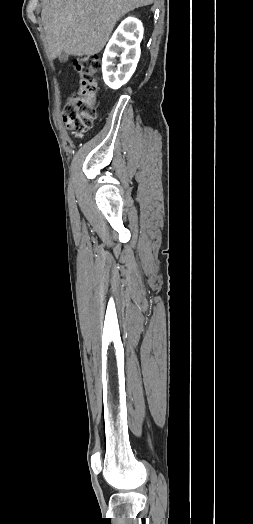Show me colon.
Instances as JSON below:
<instances>
[{"instance_id": "1", "label": "colon", "mask_w": 253, "mask_h": 524, "mask_svg": "<svg viewBox=\"0 0 253 524\" xmlns=\"http://www.w3.org/2000/svg\"><path fill=\"white\" fill-rule=\"evenodd\" d=\"M98 56H82L76 59L75 69L80 80L63 108V120L76 135L81 136L92 128L96 118L97 82L100 67Z\"/></svg>"}]
</instances>
